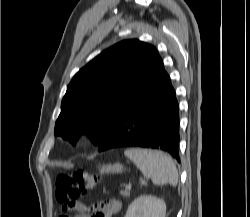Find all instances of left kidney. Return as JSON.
<instances>
[{
    "label": "left kidney",
    "mask_w": 250,
    "mask_h": 217,
    "mask_svg": "<svg viewBox=\"0 0 250 217\" xmlns=\"http://www.w3.org/2000/svg\"><path fill=\"white\" fill-rule=\"evenodd\" d=\"M165 215L166 204L162 199L144 195L130 204L125 217H165Z\"/></svg>",
    "instance_id": "obj_1"
}]
</instances>
